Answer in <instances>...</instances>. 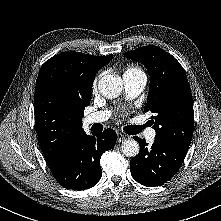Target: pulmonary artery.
<instances>
[{
	"label": "pulmonary artery",
	"instance_id": "obj_1",
	"mask_svg": "<svg viewBox=\"0 0 221 221\" xmlns=\"http://www.w3.org/2000/svg\"><path fill=\"white\" fill-rule=\"evenodd\" d=\"M123 82L125 85V92L128 98L132 99L138 96L144 89L147 78L144 74H123ZM110 116L108 111H98L88 115L85 118L86 125H92L94 123H101L106 121ZM156 136L154 129H148L145 132V137L148 141H153Z\"/></svg>",
	"mask_w": 221,
	"mask_h": 221
}]
</instances>
